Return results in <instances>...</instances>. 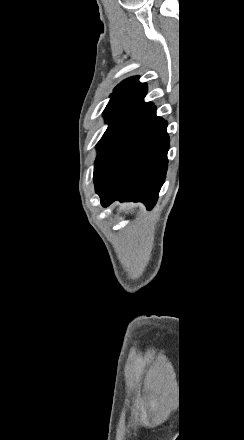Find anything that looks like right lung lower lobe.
<instances>
[{
  "mask_svg": "<svg viewBox=\"0 0 244 440\" xmlns=\"http://www.w3.org/2000/svg\"><path fill=\"white\" fill-rule=\"evenodd\" d=\"M166 127L154 104L143 100L116 124L95 161V190L103 207L120 200L153 208L167 171Z\"/></svg>",
  "mask_w": 244,
  "mask_h": 440,
  "instance_id": "obj_1",
  "label": "right lung lower lobe"
}]
</instances>
